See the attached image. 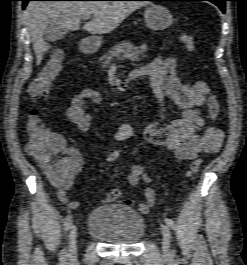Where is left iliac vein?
<instances>
[{"label": "left iliac vein", "mask_w": 247, "mask_h": 265, "mask_svg": "<svg viewBox=\"0 0 247 265\" xmlns=\"http://www.w3.org/2000/svg\"><path fill=\"white\" fill-rule=\"evenodd\" d=\"M162 251L163 255L165 257L170 256V239H171V233L167 225H162Z\"/></svg>", "instance_id": "left-iliac-vein-1"}]
</instances>
